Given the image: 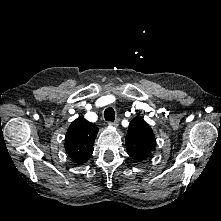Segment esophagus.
I'll return each mask as SVG.
<instances>
[{"label": "esophagus", "mask_w": 221, "mask_h": 221, "mask_svg": "<svg viewBox=\"0 0 221 221\" xmlns=\"http://www.w3.org/2000/svg\"><path fill=\"white\" fill-rule=\"evenodd\" d=\"M109 126L117 127L119 125V120L108 122Z\"/></svg>", "instance_id": "1"}]
</instances>
